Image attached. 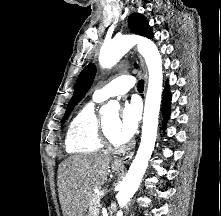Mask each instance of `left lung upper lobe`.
Wrapping results in <instances>:
<instances>
[{
	"mask_svg": "<svg viewBox=\"0 0 221 216\" xmlns=\"http://www.w3.org/2000/svg\"><path fill=\"white\" fill-rule=\"evenodd\" d=\"M129 28L132 32L148 38H152L153 34L147 20L139 13H134L128 20ZM96 73L94 64L87 65L80 73L74 88V94L67 104L63 122L66 120L74 106L85 96L86 92L92 85Z\"/></svg>",
	"mask_w": 221,
	"mask_h": 216,
	"instance_id": "left-lung-upper-lobe-1",
	"label": "left lung upper lobe"
}]
</instances>
